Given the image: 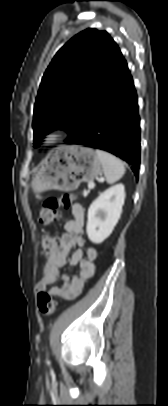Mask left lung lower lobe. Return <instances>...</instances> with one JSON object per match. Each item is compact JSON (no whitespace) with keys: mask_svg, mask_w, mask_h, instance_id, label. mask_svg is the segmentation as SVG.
Masks as SVG:
<instances>
[{"mask_svg":"<svg viewBox=\"0 0 168 406\" xmlns=\"http://www.w3.org/2000/svg\"><path fill=\"white\" fill-rule=\"evenodd\" d=\"M137 95L123 58L93 105L83 128L66 144L108 151L131 164L138 178L140 127Z\"/></svg>","mask_w":168,"mask_h":406,"instance_id":"1","label":"left lung lower lobe"}]
</instances>
